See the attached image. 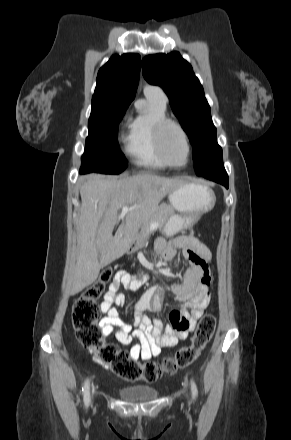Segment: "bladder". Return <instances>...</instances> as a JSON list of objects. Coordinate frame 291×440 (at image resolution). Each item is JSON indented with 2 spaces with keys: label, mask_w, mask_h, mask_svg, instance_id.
<instances>
[{
  "label": "bladder",
  "mask_w": 291,
  "mask_h": 440,
  "mask_svg": "<svg viewBox=\"0 0 291 440\" xmlns=\"http://www.w3.org/2000/svg\"><path fill=\"white\" fill-rule=\"evenodd\" d=\"M119 395L126 401H149L156 398L158 390L154 387L131 386L119 390Z\"/></svg>",
  "instance_id": "31cf9c89"
}]
</instances>
